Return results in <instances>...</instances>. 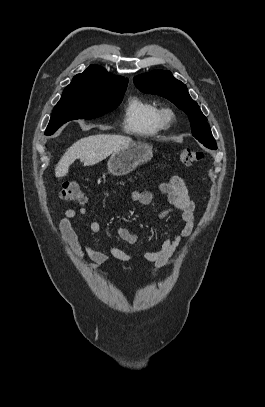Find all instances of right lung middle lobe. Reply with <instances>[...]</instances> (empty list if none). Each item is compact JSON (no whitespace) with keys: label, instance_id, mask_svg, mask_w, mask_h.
I'll list each match as a JSON object with an SVG mask.
<instances>
[{"label":"right lung middle lobe","instance_id":"right-lung-middle-lobe-1","mask_svg":"<svg viewBox=\"0 0 265 407\" xmlns=\"http://www.w3.org/2000/svg\"><path fill=\"white\" fill-rule=\"evenodd\" d=\"M126 88L127 85L71 82L54 107L45 134L52 135L70 120L93 119L112 111L121 103Z\"/></svg>","mask_w":265,"mask_h":407}]
</instances>
